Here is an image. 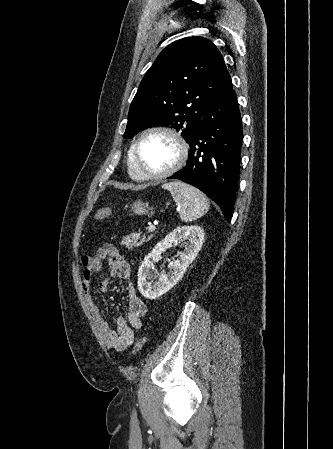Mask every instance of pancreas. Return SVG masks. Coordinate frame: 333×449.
Here are the masks:
<instances>
[{
  "label": "pancreas",
  "mask_w": 333,
  "mask_h": 449,
  "mask_svg": "<svg viewBox=\"0 0 333 449\" xmlns=\"http://www.w3.org/2000/svg\"><path fill=\"white\" fill-rule=\"evenodd\" d=\"M151 238L152 235L142 234L141 232H132L122 237L121 244L132 249L133 247H138L143 243L148 242Z\"/></svg>",
  "instance_id": "obj_1"
}]
</instances>
